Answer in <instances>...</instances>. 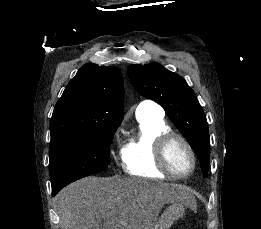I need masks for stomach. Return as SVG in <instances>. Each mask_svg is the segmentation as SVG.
I'll return each mask as SVG.
<instances>
[{
  "mask_svg": "<svg viewBox=\"0 0 261 229\" xmlns=\"http://www.w3.org/2000/svg\"><path fill=\"white\" fill-rule=\"evenodd\" d=\"M184 213V205L178 201V203L171 205V207H168V209L162 213L158 223L154 225V229H170L174 221H178L180 217H183Z\"/></svg>",
  "mask_w": 261,
  "mask_h": 229,
  "instance_id": "0dacf381",
  "label": "stomach"
}]
</instances>
